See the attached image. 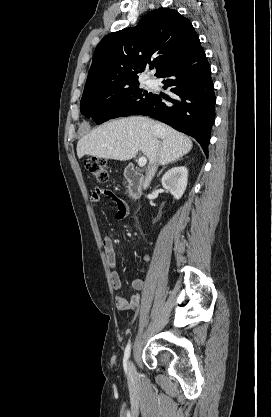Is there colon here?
Instances as JSON below:
<instances>
[{"mask_svg": "<svg viewBox=\"0 0 272 417\" xmlns=\"http://www.w3.org/2000/svg\"><path fill=\"white\" fill-rule=\"evenodd\" d=\"M86 169L98 181H106L108 179V165L107 162L100 157H91L85 161Z\"/></svg>", "mask_w": 272, "mask_h": 417, "instance_id": "colon-1", "label": "colon"}]
</instances>
